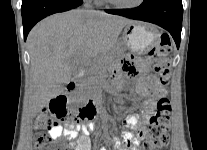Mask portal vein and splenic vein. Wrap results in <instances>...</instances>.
<instances>
[{"instance_id": "18ae733b", "label": "portal vein and splenic vein", "mask_w": 207, "mask_h": 150, "mask_svg": "<svg viewBox=\"0 0 207 150\" xmlns=\"http://www.w3.org/2000/svg\"><path fill=\"white\" fill-rule=\"evenodd\" d=\"M74 61H76V62H78V63H80V64H82V65H90V64H91L90 60H85V59H83V58L80 57V56L76 57V58L74 59Z\"/></svg>"}]
</instances>
